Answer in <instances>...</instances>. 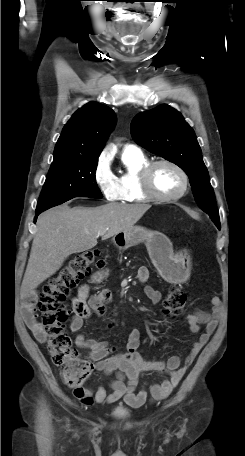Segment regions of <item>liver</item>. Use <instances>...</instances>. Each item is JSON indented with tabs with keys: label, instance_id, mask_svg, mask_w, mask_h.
Returning <instances> with one entry per match:
<instances>
[{
	"label": "liver",
	"instance_id": "liver-1",
	"mask_svg": "<svg viewBox=\"0 0 245 456\" xmlns=\"http://www.w3.org/2000/svg\"><path fill=\"white\" fill-rule=\"evenodd\" d=\"M150 207L145 203H109L94 208H70L64 204L41 213L21 285V297L31 295L55 274L70 254L94 248L99 236L106 240L130 229Z\"/></svg>",
	"mask_w": 245,
	"mask_h": 456
}]
</instances>
